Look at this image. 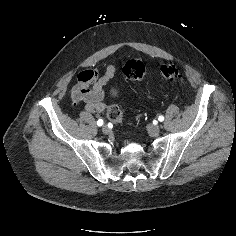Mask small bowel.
<instances>
[{
	"mask_svg": "<svg viewBox=\"0 0 236 236\" xmlns=\"http://www.w3.org/2000/svg\"><path fill=\"white\" fill-rule=\"evenodd\" d=\"M116 72L114 64H109L100 74L97 70L88 69L78 74L77 84L72 90L75 102H85L88 112H102L106 108L104 86L113 78Z\"/></svg>",
	"mask_w": 236,
	"mask_h": 236,
	"instance_id": "obj_1",
	"label": "small bowel"
}]
</instances>
